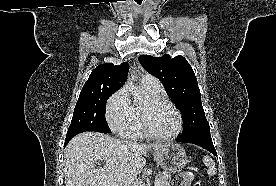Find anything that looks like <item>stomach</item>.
I'll list each match as a JSON object with an SVG mask.
<instances>
[{"instance_id":"obj_1","label":"stomach","mask_w":276,"mask_h":186,"mask_svg":"<svg viewBox=\"0 0 276 186\" xmlns=\"http://www.w3.org/2000/svg\"><path fill=\"white\" fill-rule=\"evenodd\" d=\"M154 156L158 165L167 172H179L187 164L185 150L175 143H168L155 150Z\"/></svg>"}]
</instances>
